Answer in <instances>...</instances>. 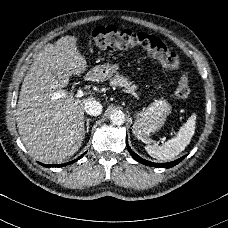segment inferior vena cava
Returning <instances> with one entry per match:
<instances>
[{
	"mask_svg": "<svg viewBox=\"0 0 228 228\" xmlns=\"http://www.w3.org/2000/svg\"><path fill=\"white\" fill-rule=\"evenodd\" d=\"M84 110L90 116H99L102 113L103 107L100 102L92 99L86 102Z\"/></svg>",
	"mask_w": 228,
	"mask_h": 228,
	"instance_id": "1",
	"label": "inferior vena cava"
}]
</instances>
